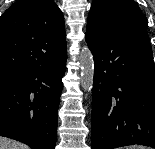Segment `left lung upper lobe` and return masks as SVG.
<instances>
[{
  "label": "left lung upper lobe",
  "mask_w": 155,
  "mask_h": 149,
  "mask_svg": "<svg viewBox=\"0 0 155 149\" xmlns=\"http://www.w3.org/2000/svg\"><path fill=\"white\" fill-rule=\"evenodd\" d=\"M147 29L146 16L133 0H94L88 17L87 33L109 35L129 28Z\"/></svg>",
  "instance_id": "left-lung-upper-lobe-1"
}]
</instances>
